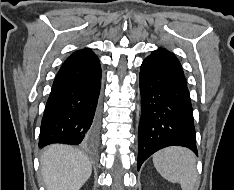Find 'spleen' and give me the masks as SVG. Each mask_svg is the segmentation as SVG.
Listing matches in <instances>:
<instances>
[{
  "mask_svg": "<svg viewBox=\"0 0 234 190\" xmlns=\"http://www.w3.org/2000/svg\"><path fill=\"white\" fill-rule=\"evenodd\" d=\"M153 164L169 182H178L182 190H193L197 182L196 157L184 147H167L153 155Z\"/></svg>",
  "mask_w": 234,
  "mask_h": 190,
  "instance_id": "1",
  "label": "spleen"
}]
</instances>
